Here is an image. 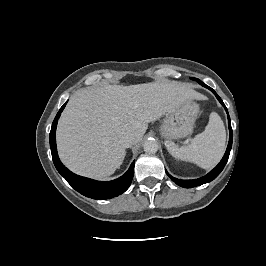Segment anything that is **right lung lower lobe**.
I'll return each instance as SVG.
<instances>
[{
    "mask_svg": "<svg viewBox=\"0 0 266 266\" xmlns=\"http://www.w3.org/2000/svg\"><path fill=\"white\" fill-rule=\"evenodd\" d=\"M66 103L60 108L59 112L57 113L49 135L52 159L56 169L76 191L86 197L103 200L110 199L122 194L129 188L132 182L134 175V162L131 164L130 168L123 176L112 181H96L76 175L61 163L56 149L55 131L58 119L61 115V112L65 108Z\"/></svg>",
    "mask_w": 266,
    "mask_h": 266,
    "instance_id": "obj_1",
    "label": "right lung lower lobe"
}]
</instances>
